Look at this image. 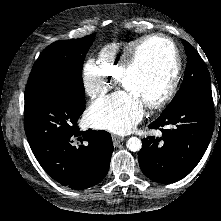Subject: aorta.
Returning <instances> with one entry per match:
<instances>
[{
	"label": "aorta",
	"instance_id": "aorta-1",
	"mask_svg": "<svg viewBox=\"0 0 221 221\" xmlns=\"http://www.w3.org/2000/svg\"><path fill=\"white\" fill-rule=\"evenodd\" d=\"M127 148L132 151V152H137L141 149L142 147V142L139 138L137 137H131L127 140L126 142Z\"/></svg>",
	"mask_w": 221,
	"mask_h": 221
}]
</instances>
